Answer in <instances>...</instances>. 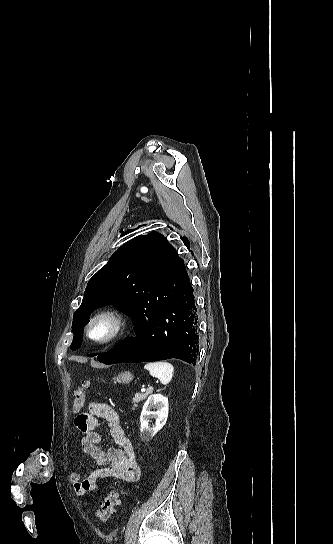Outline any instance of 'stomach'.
Listing matches in <instances>:
<instances>
[{
    "instance_id": "1",
    "label": "stomach",
    "mask_w": 333,
    "mask_h": 544,
    "mask_svg": "<svg viewBox=\"0 0 333 544\" xmlns=\"http://www.w3.org/2000/svg\"><path fill=\"white\" fill-rule=\"evenodd\" d=\"M132 379H133V375L130 372L126 371V372L120 373L116 378H114V381L128 384L129 382L132 381Z\"/></svg>"
}]
</instances>
